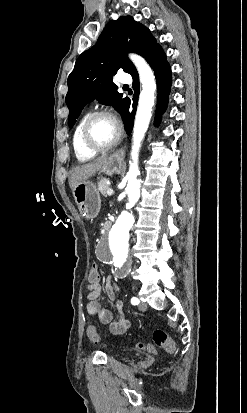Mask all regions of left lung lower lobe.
I'll return each instance as SVG.
<instances>
[{"label":"left lung lower lobe","mask_w":247,"mask_h":413,"mask_svg":"<svg viewBox=\"0 0 247 413\" xmlns=\"http://www.w3.org/2000/svg\"><path fill=\"white\" fill-rule=\"evenodd\" d=\"M148 63L152 67L158 87V97H157V108L155 115V124L159 125L161 121V115L165 112L168 104V96L170 93V88L172 84L171 78V68L166 60V55L162 49L156 51L148 60ZM133 89L135 95L133 97V111L129 112L130 100L127 104V109L125 111L123 121L125 124L127 134H130L133 128L134 116L137 107V100L139 94V76L138 73L133 76Z\"/></svg>","instance_id":"obj_1"}]
</instances>
